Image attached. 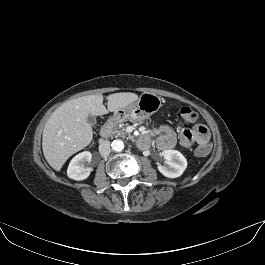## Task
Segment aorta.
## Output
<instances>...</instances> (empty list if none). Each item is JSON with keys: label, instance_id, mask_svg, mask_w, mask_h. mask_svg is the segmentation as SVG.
<instances>
[{"label": "aorta", "instance_id": "762f6f07", "mask_svg": "<svg viewBox=\"0 0 265 265\" xmlns=\"http://www.w3.org/2000/svg\"><path fill=\"white\" fill-rule=\"evenodd\" d=\"M111 147L115 152H121L124 149V143L121 140H114Z\"/></svg>", "mask_w": 265, "mask_h": 265}]
</instances>
